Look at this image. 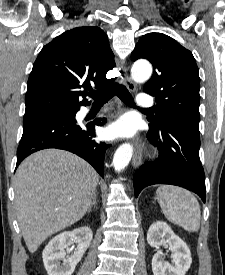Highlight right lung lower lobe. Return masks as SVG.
<instances>
[{
    "instance_id": "1",
    "label": "right lung lower lobe",
    "mask_w": 225,
    "mask_h": 275,
    "mask_svg": "<svg viewBox=\"0 0 225 275\" xmlns=\"http://www.w3.org/2000/svg\"><path fill=\"white\" fill-rule=\"evenodd\" d=\"M79 109L75 110V114ZM106 119H96L86 126L76 123L74 116L56 112H43L24 116L23 135L17 150V164L33 152L46 148L64 149L88 161L104 177L103 160L110 144L96 140L95 124L103 125Z\"/></svg>"
}]
</instances>
